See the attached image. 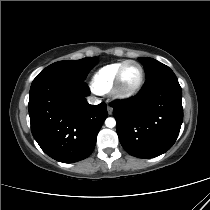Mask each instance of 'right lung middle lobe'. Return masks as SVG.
I'll return each mask as SVG.
<instances>
[{
    "label": "right lung middle lobe",
    "instance_id": "right-lung-middle-lobe-1",
    "mask_svg": "<svg viewBox=\"0 0 210 210\" xmlns=\"http://www.w3.org/2000/svg\"><path fill=\"white\" fill-rule=\"evenodd\" d=\"M98 63V58L88 57L80 60H65L53 63L41 71L36 78L47 76H66L85 80L89 71Z\"/></svg>",
    "mask_w": 210,
    "mask_h": 210
}]
</instances>
